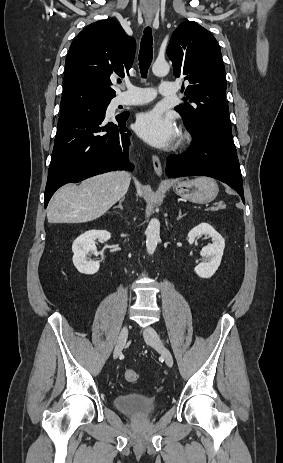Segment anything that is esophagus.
<instances>
[{"mask_svg":"<svg viewBox=\"0 0 283 463\" xmlns=\"http://www.w3.org/2000/svg\"><path fill=\"white\" fill-rule=\"evenodd\" d=\"M153 21V16L152 15H147L145 16V22L147 25H150ZM152 163H153V168H154V171L155 173L161 177L162 176V166H161V162H160V159L158 156L156 155H153L152 156Z\"/></svg>","mask_w":283,"mask_h":463,"instance_id":"34e87169","label":"esophagus"}]
</instances>
